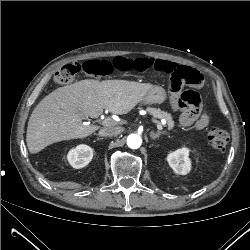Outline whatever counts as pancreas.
Masks as SVG:
<instances>
[{
    "instance_id": "obj_1",
    "label": "pancreas",
    "mask_w": 250,
    "mask_h": 250,
    "mask_svg": "<svg viewBox=\"0 0 250 250\" xmlns=\"http://www.w3.org/2000/svg\"><path fill=\"white\" fill-rule=\"evenodd\" d=\"M147 111L154 118H160V119L166 120L169 130H172L174 128V121L170 113L161 111L160 109H157V108H147Z\"/></svg>"
}]
</instances>
